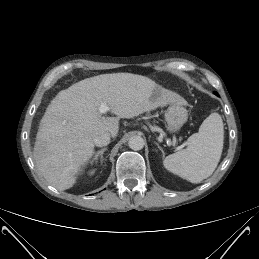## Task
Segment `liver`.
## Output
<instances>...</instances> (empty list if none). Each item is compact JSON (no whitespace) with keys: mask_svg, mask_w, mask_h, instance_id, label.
<instances>
[{"mask_svg":"<svg viewBox=\"0 0 259 259\" xmlns=\"http://www.w3.org/2000/svg\"><path fill=\"white\" fill-rule=\"evenodd\" d=\"M106 103L116 117L99 113ZM186 100L159 87L148 77L131 73L102 74L60 91L48 105L36 135L33 156L46 181L64 191L94 155L93 139L108 132L116 137L120 118H133Z\"/></svg>","mask_w":259,"mask_h":259,"instance_id":"1","label":"liver"}]
</instances>
